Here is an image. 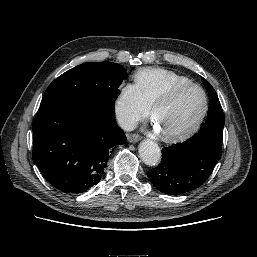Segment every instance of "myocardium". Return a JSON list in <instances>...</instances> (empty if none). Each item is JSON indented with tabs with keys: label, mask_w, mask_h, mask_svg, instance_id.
Masks as SVG:
<instances>
[{
	"label": "myocardium",
	"mask_w": 257,
	"mask_h": 257,
	"mask_svg": "<svg viewBox=\"0 0 257 257\" xmlns=\"http://www.w3.org/2000/svg\"><path fill=\"white\" fill-rule=\"evenodd\" d=\"M190 88H196L201 92L203 96L202 111L199 114L196 121L190 127L185 128L183 130L175 131V132H164V136L171 141H177V140H182L184 138H187L199 129V127L203 123L209 111V98H208L207 92L199 84L192 83V82L185 83V84H181L173 87L165 94L161 95L152 105L151 114H152V117L156 119V111L158 110V108H160L163 105L171 103L181 92Z\"/></svg>",
	"instance_id": "f54148a6"
}]
</instances>
